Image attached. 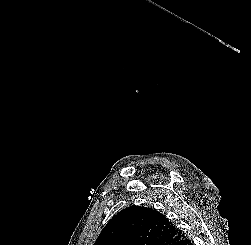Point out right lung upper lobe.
Listing matches in <instances>:
<instances>
[{"instance_id":"cb5924a9","label":"right lung upper lobe","mask_w":251,"mask_h":245,"mask_svg":"<svg viewBox=\"0 0 251 245\" xmlns=\"http://www.w3.org/2000/svg\"><path fill=\"white\" fill-rule=\"evenodd\" d=\"M183 237L184 233L160 212L132 206L113 216L94 245H174Z\"/></svg>"}]
</instances>
